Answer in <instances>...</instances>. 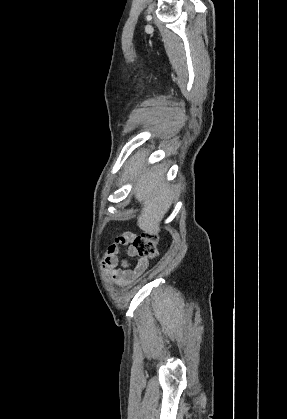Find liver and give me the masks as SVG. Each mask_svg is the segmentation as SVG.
Returning a JSON list of instances; mask_svg holds the SVG:
<instances>
[{"label":"liver","instance_id":"1","mask_svg":"<svg viewBox=\"0 0 287 419\" xmlns=\"http://www.w3.org/2000/svg\"><path fill=\"white\" fill-rule=\"evenodd\" d=\"M145 151H138L126 164L124 176L134 180L135 199L142 203L138 226L147 234L157 235L160 223L175 199L174 189L165 182L166 168L156 165L145 168Z\"/></svg>","mask_w":287,"mask_h":419}]
</instances>
